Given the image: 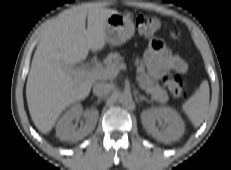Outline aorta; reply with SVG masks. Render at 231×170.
I'll return each mask as SVG.
<instances>
[{
	"label": "aorta",
	"instance_id": "1",
	"mask_svg": "<svg viewBox=\"0 0 231 170\" xmlns=\"http://www.w3.org/2000/svg\"><path fill=\"white\" fill-rule=\"evenodd\" d=\"M118 101L121 104L128 105L132 102V96L130 93L124 92L118 95Z\"/></svg>",
	"mask_w": 231,
	"mask_h": 170
}]
</instances>
